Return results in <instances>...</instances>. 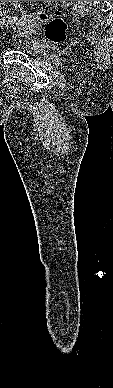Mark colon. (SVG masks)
Here are the masks:
<instances>
[{
    "mask_svg": "<svg viewBox=\"0 0 113 388\" xmlns=\"http://www.w3.org/2000/svg\"><path fill=\"white\" fill-rule=\"evenodd\" d=\"M38 21L45 22V37L52 43L59 44L65 41L67 37V23L60 13L53 15L36 14ZM17 17L7 14L0 5V25L12 28L17 23Z\"/></svg>",
    "mask_w": 113,
    "mask_h": 388,
    "instance_id": "5ec220e1",
    "label": "colon"
}]
</instances>
